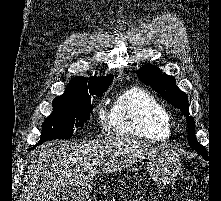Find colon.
<instances>
[{
    "mask_svg": "<svg viewBox=\"0 0 221 201\" xmlns=\"http://www.w3.org/2000/svg\"><path fill=\"white\" fill-rule=\"evenodd\" d=\"M187 201H194L193 199L189 198Z\"/></svg>",
    "mask_w": 221,
    "mask_h": 201,
    "instance_id": "1",
    "label": "colon"
}]
</instances>
